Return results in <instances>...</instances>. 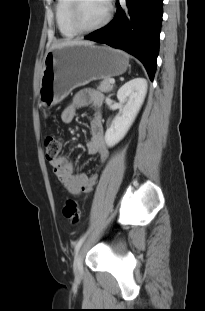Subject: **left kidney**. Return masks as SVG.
<instances>
[{
	"label": "left kidney",
	"instance_id": "left-kidney-1",
	"mask_svg": "<svg viewBox=\"0 0 205 311\" xmlns=\"http://www.w3.org/2000/svg\"><path fill=\"white\" fill-rule=\"evenodd\" d=\"M146 92L147 81L140 77L128 81L118 90L117 98L123 107L121 114L114 118L106 130L107 146L115 145L125 136L143 104Z\"/></svg>",
	"mask_w": 205,
	"mask_h": 311
}]
</instances>
